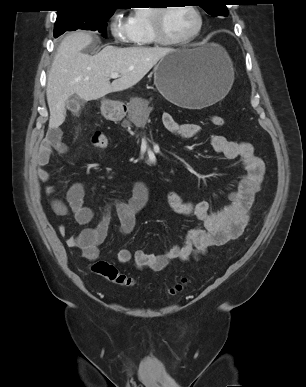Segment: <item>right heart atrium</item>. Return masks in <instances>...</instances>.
Returning <instances> with one entry per match:
<instances>
[{"label": "right heart atrium", "mask_w": 306, "mask_h": 387, "mask_svg": "<svg viewBox=\"0 0 306 387\" xmlns=\"http://www.w3.org/2000/svg\"><path fill=\"white\" fill-rule=\"evenodd\" d=\"M111 35L113 38L120 42L126 43L130 38V29L127 22L121 21L117 18H113L109 26Z\"/></svg>", "instance_id": "d8ad5b80"}]
</instances>
